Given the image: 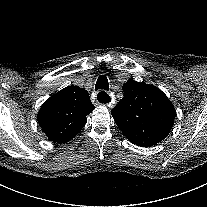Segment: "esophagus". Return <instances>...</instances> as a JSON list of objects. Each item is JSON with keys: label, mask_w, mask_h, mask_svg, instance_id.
Returning <instances> with one entry per match:
<instances>
[{"label": "esophagus", "mask_w": 207, "mask_h": 207, "mask_svg": "<svg viewBox=\"0 0 207 207\" xmlns=\"http://www.w3.org/2000/svg\"><path fill=\"white\" fill-rule=\"evenodd\" d=\"M101 92L102 91L95 93L94 95L95 102L98 103V96H99V102L101 104H103L105 107H112L114 105V98L105 91H103L104 93Z\"/></svg>", "instance_id": "obj_1"}]
</instances>
